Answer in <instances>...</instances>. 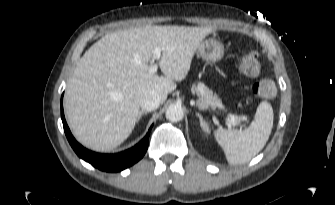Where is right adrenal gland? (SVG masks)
Here are the masks:
<instances>
[{"instance_id": "2a0ac1e0", "label": "right adrenal gland", "mask_w": 335, "mask_h": 205, "mask_svg": "<svg viewBox=\"0 0 335 205\" xmlns=\"http://www.w3.org/2000/svg\"><path fill=\"white\" fill-rule=\"evenodd\" d=\"M147 114L145 111H140L139 116L137 118V122L141 119L142 115Z\"/></svg>"}]
</instances>
